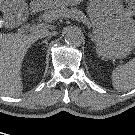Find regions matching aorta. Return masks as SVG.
I'll use <instances>...</instances> for the list:
<instances>
[{"label": "aorta", "mask_w": 135, "mask_h": 135, "mask_svg": "<svg viewBox=\"0 0 135 135\" xmlns=\"http://www.w3.org/2000/svg\"><path fill=\"white\" fill-rule=\"evenodd\" d=\"M84 41V35L79 28L69 27L65 32V42L73 47L80 46Z\"/></svg>", "instance_id": "762f6f07"}]
</instances>
